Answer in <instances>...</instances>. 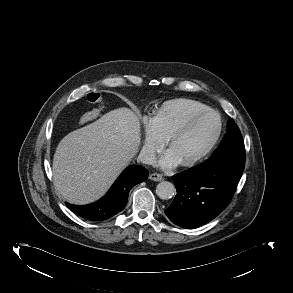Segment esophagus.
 <instances>
[{
    "label": "esophagus",
    "instance_id": "obj_1",
    "mask_svg": "<svg viewBox=\"0 0 293 293\" xmlns=\"http://www.w3.org/2000/svg\"><path fill=\"white\" fill-rule=\"evenodd\" d=\"M149 178L153 181H158V182L163 180L162 175L159 173H152L150 174Z\"/></svg>",
    "mask_w": 293,
    "mask_h": 293
}]
</instances>
